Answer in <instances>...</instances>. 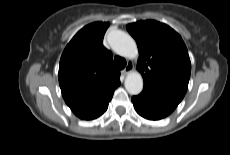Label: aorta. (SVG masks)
Here are the masks:
<instances>
[{"label": "aorta", "mask_w": 230, "mask_h": 155, "mask_svg": "<svg viewBox=\"0 0 230 155\" xmlns=\"http://www.w3.org/2000/svg\"><path fill=\"white\" fill-rule=\"evenodd\" d=\"M109 43L117 54L126 58H135L138 49L134 39L123 31H115L111 34ZM125 88L131 95H138L143 89V78L139 72L128 73L125 78Z\"/></svg>", "instance_id": "1"}]
</instances>
